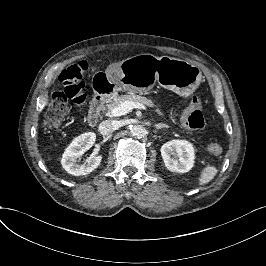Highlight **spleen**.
Here are the masks:
<instances>
[{
	"mask_svg": "<svg viewBox=\"0 0 266 266\" xmlns=\"http://www.w3.org/2000/svg\"><path fill=\"white\" fill-rule=\"evenodd\" d=\"M218 170L216 167L214 166H206L200 174V178H199V184L200 185H204L207 184L208 182H210L215 175L217 174Z\"/></svg>",
	"mask_w": 266,
	"mask_h": 266,
	"instance_id": "spleen-1",
	"label": "spleen"
}]
</instances>
